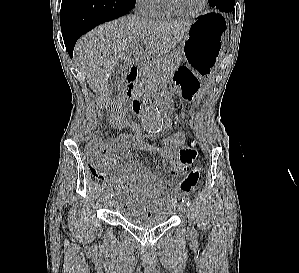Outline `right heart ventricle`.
I'll return each mask as SVG.
<instances>
[{
  "label": "right heart ventricle",
  "mask_w": 299,
  "mask_h": 273,
  "mask_svg": "<svg viewBox=\"0 0 299 273\" xmlns=\"http://www.w3.org/2000/svg\"><path fill=\"white\" fill-rule=\"evenodd\" d=\"M146 15L151 18L163 19L173 17L175 13L168 8L165 0H156Z\"/></svg>",
  "instance_id": "right-heart-ventricle-1"
}]
</instances>
